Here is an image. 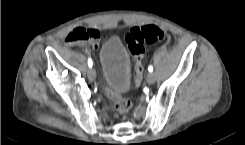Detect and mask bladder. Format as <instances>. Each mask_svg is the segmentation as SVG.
I'll use <instances>...</instances> for the list:
<instances>
[{"instance_id": "bladder-1", "label": "bladder", "mask_w": 245, "mask_h": 145, "mask_svg": "<svg viewBox=\"0 0 245 145\" xmlns=\"http://www.w3.org/2000/svg\"><path fill=\"white\" fill-rule=\"evenodd\" d=\"M102 77L107 88L116 95L126 92L131 84L128 50L117 37L107 39L100 51Z\"/></svg>"}]
</instances>
